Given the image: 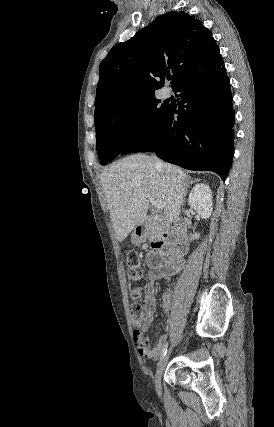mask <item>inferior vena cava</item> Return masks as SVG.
I'll return each instance as SVG.
<instances>
[{"label": "inferior vena cava", "instance_id": "1", "mask_svg": "<svg viewBox=\"0 0 274 427\" xmlns=\"http://www.w3.org/2000/svg\"><path fill=\"white\" fill-rule=\"evenodd\" d=\"M154 158V162L156 164V168H163V162H161V160H158V158H156V156H153Z\"/></svg>", "mask_w": 274, "mask_h": 427}]
</instances>
